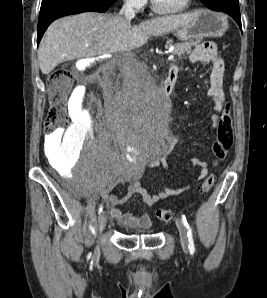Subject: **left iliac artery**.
<instances>
[{
  "instance_id": "44dca946",
  "label": "left iliac artery",
  "mask_w": 267,
  "mask_h": 298,
  "mask_svg": "<svg viewBox=\"0 0 267 298\" xmlns=\"http://www.w3.org/2000/svg\"><path fill=\"white\" fill-rule=\"evenodd\" d=\"M186 229H187V236H188V241H189V251L191 254H194L195 252V245H194V240H193V232H192V228L191 226L189 225L186 217L184 215H182L181 217Z\"/></svg>"
}]
</instances>
